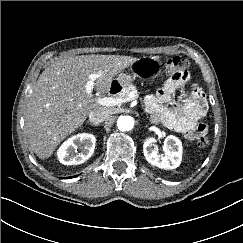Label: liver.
I'll return each instance as SVG.
<instances>
[{
    "mask_svg": "<svg viewBox=\"0 0 243 243\" xmlns=\"http://www.w3.org/2000/svg\"><path fill=\"white\" fill-rule=\"evenodd\" d=\"M135 58L120 55H81L58 60L39 76L25 110V128L32 151L49 158L78 129L90 112L103 107L86 93L90 74H99L95 89L107 93L113 78Z\"/></svg>",
    "mask_w": 243,
    "mask_h": 243,
    "instance_id": "obj_1",
    "label": "liver"
}]
</instances>
